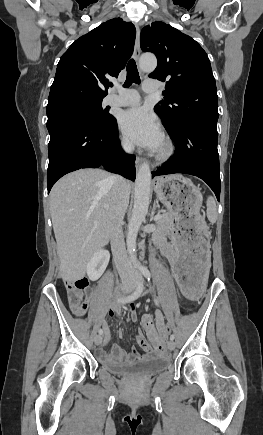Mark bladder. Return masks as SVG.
Returning a JSON list of instances; mask_svg holds the SVG:
<instances>
[{"instance_id": "bladder-1", "label": "bladder", "mask_w": 263, "mask_h": 435, "mask_svg": "<svg viewBox=\"0 0 263 435\" xmlns=\"http://www.w3.org/2000/svg\"><path fill=\"white\" fill-rule=\"evenodd\" d=\"M169 362L164 355H152L132 363L105 362L102 366L117 375L150 376L164 371Z\"/></svg>"}]
</instances>
